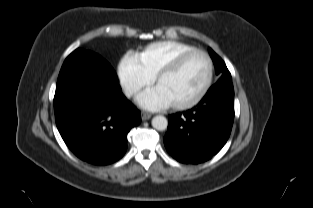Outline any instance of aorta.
<instances>
[{"label":"aorta","instance_id":"aorta-1","mask_svg":"<svg viewBox=\"0 0 313 208\" xmlns=\"http://www.w3.org/2000/svg\"><path fill=\"white\" fill-rule=\"evenodd\" d=\"M152 126L158 131H164L168 126V121L164 116L157 115L152 119Z\"/></svg>","mask_w":313,"mask_h":208}]
</instances>
